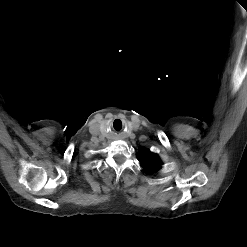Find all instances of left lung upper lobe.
<instances>
[{
	"instance_id": "obj_1",
	"label": "left lung upper lobe",
	"mask_w": 247,
	"mask_h": 247,
	"mask_svg": "<svg viewBox=\"0 0 247 247\" xmlns=\"http://www.w3.org/2000/svg\"><path fill=\"white\" fill-rule=\"evenodd\" d=\"M138 160L142 164L145 172L148 174H153L161 168V160L157 154L144 149L142 153L138 154Z\"/></svg>"
}]
</instances>
